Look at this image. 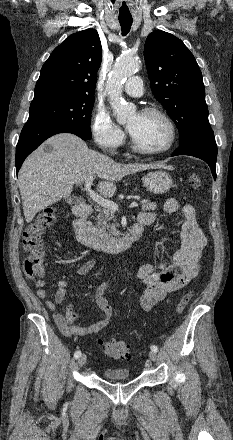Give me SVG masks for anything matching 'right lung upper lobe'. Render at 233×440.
Masks as SVG:
<instances>
[{
  "mask_svg": "<svg viewBox=\"0 0 233 440\" xmlns=\"http://www.w3.org/2000/svg\"><path fill=\"white\" fill-rule=\"evenodd\" d=\"M101 57L96 30L70 35L42 66L32 103L57 97L94 98Z\"/></svg>",
  "mask_w": 233,
  "mask_h": 440,
  "instance_id": "cb5924a9",
  "label": "right lung upper lobe"
}]
</instances>
